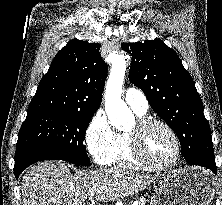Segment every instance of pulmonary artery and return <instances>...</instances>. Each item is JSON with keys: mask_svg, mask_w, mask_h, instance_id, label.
Listing matches in <instances>:
<instances>
[{"mask_svg": "<svg viewBox=\"0 0 222 205\" xmlns=\"http://www.w3.org/2000/svg\"><path fill=\"white\" fill-rule=\"evenodd\" d=\"M124 99L126 103L136 112L145 114L148 110V101L142 91L136 88H128Z\"/></svg>", "mask_w": 222, "mask_h": 205, "instance_id": "1", "label": "pulmonary artery"}]
</instances>
